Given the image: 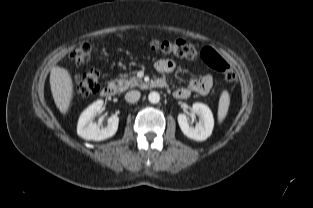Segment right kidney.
I'll return each mask as SVG.
<instances>
[{
    "mask_svg": "<svg viewBox=\"0 0 313 208\" xmlns=\"http://www.w3.org/2000/svg\"><path fill=\"white\" fill-rule=\"evenodd\" d=\"M103 111V100H97L88 106L80 115L77 125V134L85 140L102 141L115 135L118 129L119 118L111 116L108 125L101 128L93 122L94 117Z\"/></svg>",
    "mask_w": 313,
    "mask_h": 208,
    "instance_id": "ca27d5eb",
    "label": "right kidney"
}]
</instances>
